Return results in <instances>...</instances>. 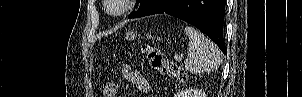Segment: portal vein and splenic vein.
<instances>
[{"instance_id": "obj_1", "label": "portal vein and splenic vein", "mask_w": 302, "mask_h": 97, "mask_svg": "<svg viewBox=\"0 0 302 97\" xmlns=\"http://www.w3.org/2000/svg\"><path fill=\"white\" fill-rule=\"evenodd\" d=\"M175 60H176V61H181V60H182V57H181V56H176V57H175Z\"/></svg>"}]
</instances>
